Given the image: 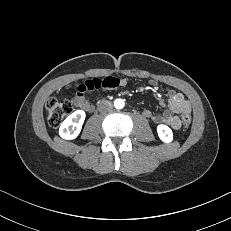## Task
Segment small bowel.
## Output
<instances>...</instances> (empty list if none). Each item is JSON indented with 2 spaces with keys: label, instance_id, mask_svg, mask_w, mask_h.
<instances>
[{
  "label": "small bowel",
  "instance_id": "small-bowel-1",
  "mask_svg": "<svg viewBox=\"0 0 231 231\" xmlns=\"http://www.w3.org/2000/svg\"><path fill=\"white\" fill-rule=\"evenodd\" d=\"M127 81L117 77L109 76L104 79H92L78 86L77 93L73 98L76 106L90 111L93 108L90 98L86 95L88 91L97 89H115L119 86H125ZM151 86H156V81H150ZM160 105L165 108L163 114L155 115L151 110H144L145 117L153 120L155 123H165L173 129L181 127V119L178 115L190 114L191 105L181 92L170 90L167 93V101L161 102Z\"/></svg>",
  "mask_w": 231,
  "mask_h": 231
}]
</instances>
